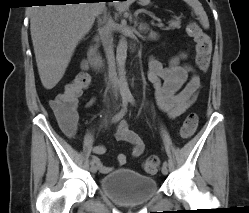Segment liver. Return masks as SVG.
I'll use <instances>...</instances> for the list:
<instances>
[{
  "label": "liver",
  "instance_id": "obj_1",
  "mask_svg": "<svg viewBox=\"0 0 249 213\" xmlns=\"http://www.w3.org/2000/svg\"><path fill=\"white\" fill-rule=\"evenodd\" d=\"M106 10L104 2L33 6L30 32L41 83L54 88L62 79L76 46Z\"/></svg>",
  "mask_w": 249,
  "mask_h": 213
}]
</instances>
